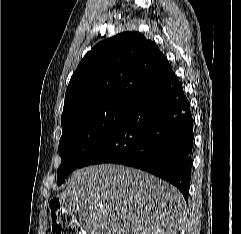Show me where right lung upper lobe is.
<instances>
[{"label":"right lung upper lobe","instance_id":"obj_1","mask_svg":"<svg viewBox=\"0 0 241 234\" xmlns=\"http://www.w3.org/2000/svg\"><path fill=\"white\" fill-rule=\"evenodd\" d=\"M172 72L154 42L139 32L120 33L98 43L81 60L68 84L61 119L99 103L134 104Z\"/></svg>","mask_w":241,"mask_h":234}]
</instances>
